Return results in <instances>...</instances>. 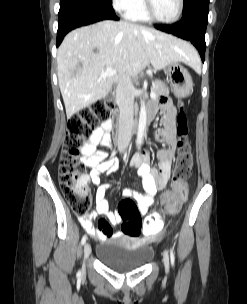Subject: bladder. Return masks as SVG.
Returning a JSON list of instances; mask_svg holds the SVG:
<instances>
[{
	"label": "bladder",
	"instance_id": "31cf9c89",
	"mask_svg": "<svg viewBox=\"0 0 247 304\" xmlns=\"http://www.w3.org/2000/svg\"><path fill=\"white\" fill-rule=\"evenodd\" d=\"M96 256L110 270L127 273L146 266L154 256V249L129 238L108 239L98 245Z\"/></svg>",
	"mask_w": 247,
	"mask_h": 304
}]
</instances>
